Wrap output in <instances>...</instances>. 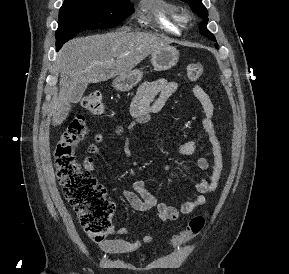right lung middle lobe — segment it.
<instances>
[{
	"label": "right lung middle lobe",
	"instance_id": "obj_1",
	"mask_svg": "<svg viewBox=\"0 0 289 274\" xmlns=\"http://www.w3.org/2000/svg\"><path fill=\"white\" fill-rule=\"evenodd\" d=\"M133 11L128 0H65L59 12L56 48L81 31L113 27Z\"/></svg>",
	"mask_w": 289,
	"mask_h": 274
}]
</instances>
